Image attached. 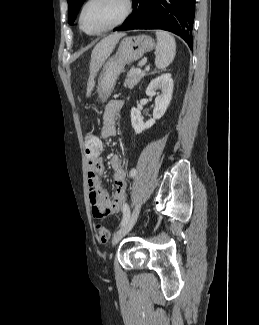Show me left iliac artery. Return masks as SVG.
<instances>
[{
	"label": "left iliac artery",
	"instance_id": "obj_1",
	"mask_svg": "<svg viewBox=\"0 0 259 325\" xmlns=\"http://www.w3.org/2000/svg\"><path fill=\"white\" fill-rule=\"evenodd\" d=\"M137 171L135 168H132L130 170L129 176L132 178L136 175ZM130 217V208L127 204L123 205V218L121 221V225H123Z\"/></svg>",
	"mask_w": 259,
	"mask_h": 325
}]
</instances>
